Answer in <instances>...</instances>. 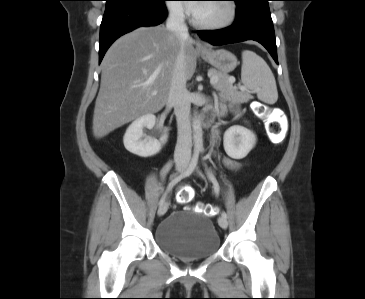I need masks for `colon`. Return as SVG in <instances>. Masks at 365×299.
<instances>
[{
    "label": "colon",
    "instance_id": "5ec220e1",
    "mask_svg": "<svg viewBox=\"0 0 365 299\" xmlns=\"http://www.w3.org/2000/svg\"><path fill=\"white\" fill-rule=\"evenodd\" d=\"M258 113L268 119L266 130L269 138L276 143L283 142L286 130L282 115L262 104L258 106ZM274 113L276 114L273 115ZM193 197L194 190L190 186L181 187L177 193V199L181 205L188 204ZM195 210L207 216H214L216 214V208L211 204L199 203L195 206Z\"/></svg>",
    "mask_w": 365,
    "mask_h": 299
}]
</instances>
